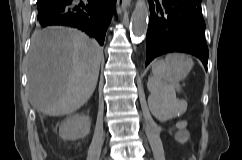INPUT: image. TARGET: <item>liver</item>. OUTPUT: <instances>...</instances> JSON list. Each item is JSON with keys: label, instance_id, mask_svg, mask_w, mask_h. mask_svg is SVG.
I'll return each instance as SVG.
<instances>
[{"label": "liver", "instance_id": "1", "mask_svg": "<svg viewBox=\"0 0 242 160\" xmlns=\"http://www.w3.org/2000/svg\"><path fill=\"white\" fill-rule=\"evenodd\" d=\"M103 49L76 29L35 32L28 54V96L34 109L49 116L69 115L92 96Z\"/></svg>", "mask_w": 242, "mask_h": 160}]
</instances>
